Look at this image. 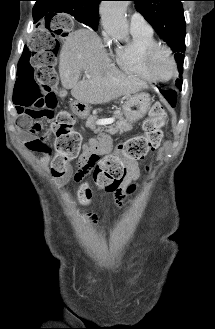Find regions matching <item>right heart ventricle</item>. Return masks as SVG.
I'll list each match as a JSON object with an SVG mask.
<instances>
[{"instance_id": "1", "label": "right heart ventricle", "mask_w": 215, "mask_h": 329, "mask_svg": "<svg viewBox=\"0 0 215 329\" xmlns=\"http://www.w3.org/2000/svg\"><path fill=\"white\" fill-rule=\"evenodd\" d=\"M132 40L115 50V60L125 72L133 74L145 81L154 82L144 67V55L157 44L153 33L131 32Z\"/></svg>"}]
</instances>
